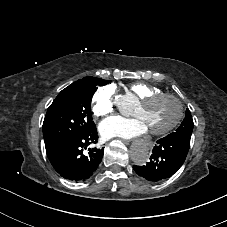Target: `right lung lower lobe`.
<instances>
[{
    "label": "right lung lower lobe",
    "instance_id": "98d812e1",
    "mask_svg": "<svg viewBox=\"0 0 227 227\" xmlns=\"http://www.w3.org/2000/svg\"><path fill=\"white\" fill-rule=\"evenodd\" d=\"M98 139L96 126L88 131L63 138L46 147L47 156L54 169L64 178L80 181L88 179L100 164L104 149H84Z\"/></svg>",
    "mask_w": 227,
    "mask_h": 227
}]
</instances>
